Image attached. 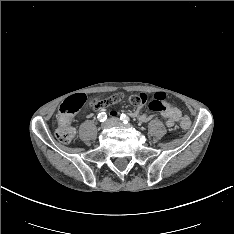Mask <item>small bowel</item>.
<instances>
[{
    "instance_id": "small-bowel-1",
    "label": "small bowel",
    "mask_w": 234,
    "mask_h": 234,
    "mask_svg": "<svg viewBox=\"0 0 234 234\" xmlns=\"http://www.w3.org/2000/svg\"><path fill=\"white\" fill-rule=\"evenodd\" d=\"M100 100L102 102V105L100 106V108H98L99 110L104 109L112 102L110 99H100ZM154 111H158L166 119V125L168 127H173L182 117L181 110L178 107L166 101H163L162 106L159 110H154ZM112 114L115 115L116 112L113 111ZM132 115L141 122H147L153 118L152 113L141 112L139 108L134 110Z\"/></svg>"
}]
</instances>
